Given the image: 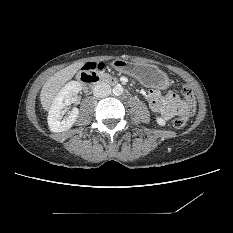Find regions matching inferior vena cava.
Instances as JSON below:
<instances>
[{"label":"inferior vena cava","instance_id":"inferior-vena-cava-1","mask_svg":"<svg viewBox=\"0 0 233 233\" xmlns=\"http://www.w3.org/2000/svg\"><path fill=\"white\" fill-rule=\"evenodd\" d=\"M111 94V87L107 83H98L93 89V95L97 98H104Z\"/></svg>","mask_w":233,"mask_h":233}]
</instances>
